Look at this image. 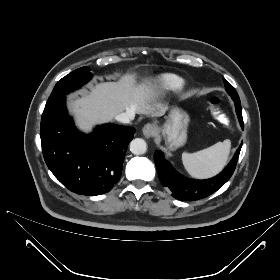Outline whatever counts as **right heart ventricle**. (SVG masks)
Masks as SVG:
<instances>
[{
    "label": "right heart ventricle",
    "mask_w": 280,
    "mask_h": 280,
    "mask_svg": "<svg viewBox=\"0 0 280 280\" xmlns=\"http://www.w3.org/2000/svg\"><path fill=\"white\" fill-rule=\"evenodd\" d=\"M183 80L173 74H165L159 78V86L163 90H178L183 86Z\"/></svg>",
    "instance_id": "e07e8e85"
}]
</instances>
